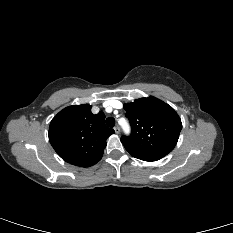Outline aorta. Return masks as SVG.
<instances>
[{
  "label": "aorta",
  "instance_id": "762f6f07",
  "mask_svg": "<svg viewBox=\"0 0 233 233\" xmlns=\"http://www.w3.org/2000/svg\"><path fill=\"white\" fill-rule=\"evenodd\" d=\"M124 130H125L126 132L129 131V128H128V126H127L126 124L124 125Z\"/></svg>",
  "mask_w": 233,
  "mask_h": 233
}]
</instances>
